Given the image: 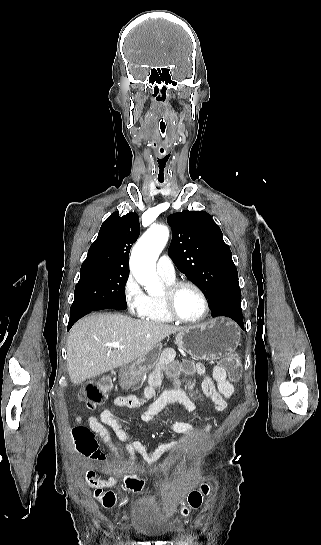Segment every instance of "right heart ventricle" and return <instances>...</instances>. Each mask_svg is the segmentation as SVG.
<instances>
[{"label":"right heart ventricle","instance_id":"right-heart-ventricle-1","mask_svg":"<svg viewBox=\"0 0 321 545\" xmlns=\"http://www.w3.org/2000/svg\"><path fill=\"white\" fill-rule=\"evenodd\" d=\"M163 280L166 284H170L174 282V280H169L165 278H163ZM141 318L143 321L152 323V324H164L171 321L170 318L163 311V308L159 300H153V299H148L147 309Z\"/></svg>","mask_w":321,"mask_h":545}]
</instances>
